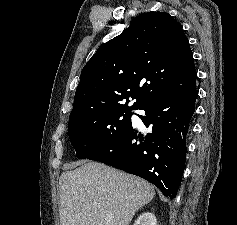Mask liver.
Instances as JSON below:
<instances>
[{"instance_id": "1", "label": "liver", "mask_w": 237, "mask_h": 225, "mask_svg": "<svg viewBox=\"0 0 237 225\" xmlns=\"http://www.w3.org/2000/svg\"><path fill=\"white\" fill-rule=\"evenodd\" d=\"M59 196L61 225H129L155 191L139 177L87 162L62 173Z\"/></svg>"}]
</instances>
